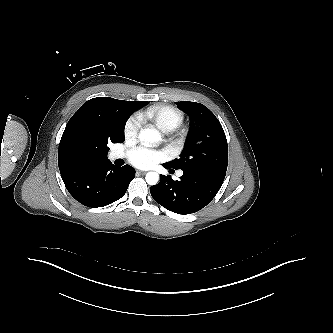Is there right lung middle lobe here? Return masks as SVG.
I'll list each match as a JSON object with an SVG mask.
<instances>
[{"label": "right lung middle lobe", "instance_id": "right-lung-middle-lobe-1", "mask_svg": "<svg viewBox=\"0 0 333 333\" xmlns=\"http://www.w3.org/2000/svg\"><path fill=\"white\" fill-rule=\"evenodd\" d=\"M147 104H148V102H143L142 104H140L138 106H134V107L123 106L121 108V110L117 112L116 126H117L118 133H117L115 139L112 140V143L124 142V127H125V124H126L128 118L134 111H136L137 109H139ZM104 147L106 148V150H109L107 142L104 143Z\"/></svg>", "mask_w": 333, "mask_h": 333}]
</instances>
